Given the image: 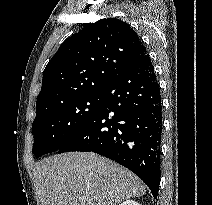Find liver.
Instances as JSON below:
<instances>
[{"label": "liver", "mask_w": 212, "mask_h": 205, "mask_svg": "<svg viewBox=\"0 0 212 205\" xmlns=\"http://www.w3.org/2000/svg\"><path fill=\"white\" fill-rule=\"evenodd\" d=\"M33 174L40 205H118L146 193L131 171L92 152L46 158Z\"/></svg>", "instance_id": "liver-1"}]
</instances>
